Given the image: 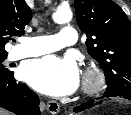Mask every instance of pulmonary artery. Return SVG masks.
<instances>
[{"label":"pulmonary artery","mask_w":131,"mask_h":115,"mask_svg":"<svg viewBox=\"0 0 131 115\" xmlns=\"http://www.w3.org/2000/svg\"><path fill=\"white\" fill-rule=\"evenodd\" d=\"M77 41V32L71 26H65L58 34L49 36L26 37L21 46L13 51V59L38 56L53 52L61 47L73 45Z\"/></svg>","instance_id":"1"}]
</instances>
